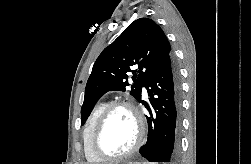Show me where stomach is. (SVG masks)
<instances>
[{"label": "stomach", "instance_id": "0dacf381", "mask_svg": "<svg viewBox=\"0 0 251 164\" xmlns=\"http://www.w3.org/2000/svg\"><path fill=\"white\" fill-rule=\"evenodd\" d=\"M128 164H141V163H139V162H136V163H128Z\"/></svg>", "mask_w": 251, "mask_h": 164}]
</instances>
